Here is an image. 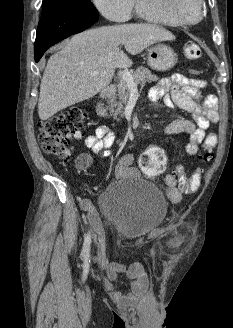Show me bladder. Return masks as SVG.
Instances as JSON below:
<instances>
[{"mask_svg":"<svg viewBox=\"0 0 233 328\" xmlns=\"http://www.w3.org/2000/svg\"><path fill=\"white\" fill-rule=\"evenodd\" d=\"M98 203L106 223L128 240L144 237L159 227L168 208L163 192L142 179L111 183L100 194Z\"/></svg>","mask_w":233,"mask_h":328,"instance_id":"bladder-1","label":"bladder"}]
</instances>
